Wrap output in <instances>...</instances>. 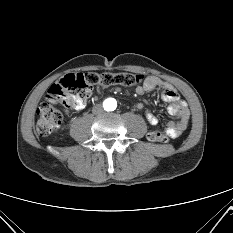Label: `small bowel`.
<instances>
[{
    "label": "small bowel",
    "instance_id": "obj_1",
    "mask_svg": "<svg viewBox=\"0 0 233 233\" xmlns=\"http://www.w3.org/2000/svg\"><path fill=\"white\" fill-rule=\"evenodd\" d=\"M155 89L161 90L162 99L169 103L167 108L168 113L176 118V120H168L165 127V132L167 135H169L171 138H176L180 136L189 125L190 114L188 106L186 102L181 99L177 90L170 83L157 76H148L141 85L137 86L136 92L139 95H143L150 93ZM86 106V101H80L74 106V108L76 110H83L86 108ZM136 108L143 110L144 104L138 102L136 104ZM145 118L150 125L158 124L157 116L150 111H145Z\"/></svg>",
    "mask_w": 233,
    "mask_h": 233
}]
</instances>
